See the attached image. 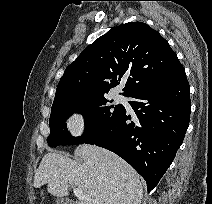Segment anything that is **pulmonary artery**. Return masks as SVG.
Returning a JSON list of instances; mask_svg holds the SVG:
<instances>
[{
    "instance_id": "1",
    "label": "pulmonary artery",
    "mask_w": 212,
    "mask_h": 204,
    "mask_svg": "<svg viewBox=\"0 0 212 204\" xmlns=\"http://www.w3.org/2000/svg\"><path fill=\"white\" fill-rule=\"evenodd\" d=\"M117 99H121V97L119 95L116 96Z\"/></svg>"
}]
</instances>
